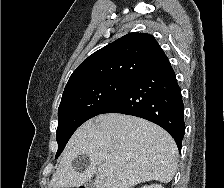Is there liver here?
Wrapping results in <instances>:
<instances>
[{"label":"liver","instance_id":"6515ba94","mask_svg":"<svg viewBox=\"0 0 224 188\" xmlns=\"http://www.w3.org/2000/svg\"><path fill=\"white\" fill-rule=\"evenodd\" d=\"M79 155L90 159L84 171L72 165ZM177 162L176 143L163 128L134 116L103 114L85 122L73 134L50 186L80 187L94 175L96 188H131L151 180L168 183L175 175Z\"/></svg>","mask_w":224,"mask_h":188}]
</instances>
